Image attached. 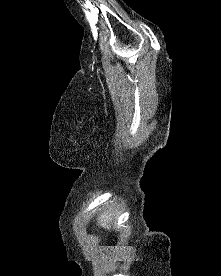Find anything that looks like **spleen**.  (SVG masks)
Returning a JSON list of instances; mask_svg holds the SVG:
<instances>
[{
  "label": "spleen",
  "instance_id": "obj_1",
  "mask_svg": "<svg viewBox=\"0 0 221 276\" xmlns=\"http://www.w3.org/2000/svg\"><path fill=\"white\" fill-rule=\"evenodd\" d=\"M112 220L113 217L111 216V214L107 211L105 213H103L99 219H98V224L103 227L104 229H110L111 225H112Z\"/></svg>",
  "mask_w": 221,
  "mask_h": 276
}]
</instances>
